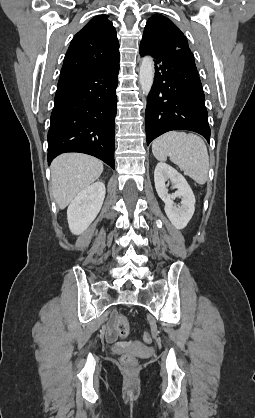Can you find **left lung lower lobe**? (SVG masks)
<instances>
[{
    "instance_id": "1",
    "label": "left lung lower lobe",
    "mask_w": 255,
    "mask_h": 418,
    "mask_svg": "<svg viewBox=\"0 0 255 418\" xmlns=\"http://www.w3.org/2000/svg\"><path fill=\"white\" fill-rule=\"evenodd\" d=\"M140 55L155 62V77L147 98L145 127L147 145L171 130H190L210 138L205 96L191 51L151 53L140 47Z\"/></svg>"
}]
</instances>
